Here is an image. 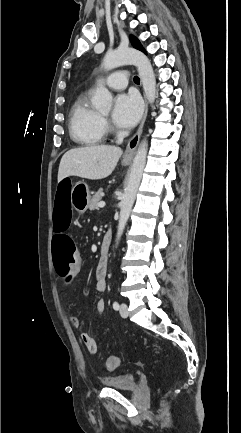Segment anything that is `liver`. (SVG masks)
Instances as JSON below:
<instances>
[{
	"label": "liver",
	"instance_id": "6515ba94",
	"mask_svg": "<svg viewBox=\"0 0 241 433\" xmlns=\"http://www.w3.org/2000/svg\"><path fill=\"white\" fill-rule=\"evenodd\" d=\"M122 150L115 146L95 145L67 151L59 164L58 182L68 176L90 180L108 177L115 169Z\"/></svg>",
	"mask_w": 241,
	"mask_h": 433
}]
</instances>
